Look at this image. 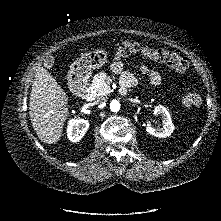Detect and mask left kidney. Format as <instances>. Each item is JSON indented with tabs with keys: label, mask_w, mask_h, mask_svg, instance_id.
Returning <instances> with one entry per match:
<instances>
[{
	"label": "left kidney",
	"mask_w": 221,
	"mask_h": 221,
	"mask_svg": "<svg viewBox=\"0 0 221 221\" xmlns=\"http://www.w3.org/2000/svg\"><path fill=\"white\" fill-rule=\"evenodd\" d=\"M154 114L162 116L163 128L155 129L151 125L150 121H148L146 131L149 134L154 135L158 138L169 137L173 133V130H174V125L172 124L170 113L165 107L159 105L155 107Z\"/></svg>",
	"instance_id": "1"
}]
</instances>
